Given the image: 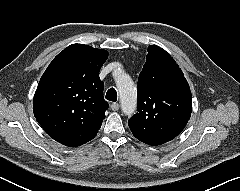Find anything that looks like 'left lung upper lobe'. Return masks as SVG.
I'll list each match as a JSON object with an SVG mask.
<instances>
[{"mask_svg":"<svg viewBox=\"0 0 240 191\" xmlns=\"http://www.w3.org/2000/svg\"><path fill=\"white\" fill-rule=\"evenodd\" d=\"M138 112L129 119L133 135L149 145L174 139L191 116V91L183 72L162 48L148 47L146 63L139 75Z\"/></svg>","mask_w":240,"mask_h":191,"instance_id":"obj_1","label":"left lung upper lobe"}]
</instances>
